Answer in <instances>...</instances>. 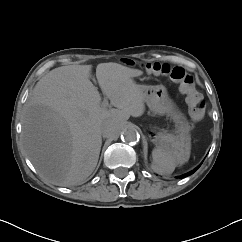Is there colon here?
Listing matches in <instances>:
<instances>
[{
  "label": "colon",
  "mask_w": 242,
  "mask_h": 242,
  "mask_svg": "<svg viewBox=\"0 0 242 242\" xmlns=\"http://www.w3.org/2000/svg\"><path fill=\"white\" fill-rule=\"evenodd\" d=\"M127 63H131V61L128 60ZM143 67L153 74L166 76L179 85L181 92L186 95L192 122H198L203 118L205 111L204 98L196 88L194 77L184 68L159 62H148L143 64Z\"/></svg>",
  "instance_id": "5ec220e1"
}]
</instances>
